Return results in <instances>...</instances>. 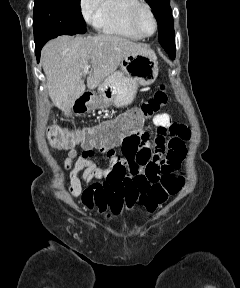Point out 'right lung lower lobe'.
<instances>
[{"instance_id": "right-lung-lower-lobe-1", "label": "right lung lower lobe", "mask_w": 240, "mask_h": 288, "mask_svg": "<svg viewBox=\"0 0 240 288\" xmlns=\"http://www.w3.org/2000/svg\"><path fill=\"white\" fill-rule=\"evenodd\" d=\"M45 43H42L40 45L35 46V53H36V57H37V61L38 62H39V59H40L41 49H42V47L44 46Z\"/></svg>"}]
</instances>
